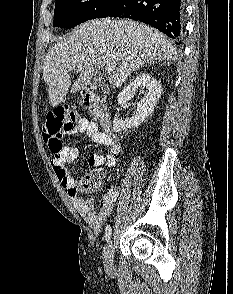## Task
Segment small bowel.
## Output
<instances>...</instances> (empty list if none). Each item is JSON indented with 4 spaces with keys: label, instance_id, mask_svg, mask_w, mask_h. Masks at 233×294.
Segmentation results:
<instances>
[{
    "label": "small bowel",
    "instance_id": "small-bowel-1",
    "mask_svg": "<svg viewBox=\"0 0 233 294\" xmlns=\"http://www.w3.org/2000/svg\"><path fill=\"white\" fill-rule=\"evenodd\" d=\"M70 134H85V136L94 143L107 147L106 155L93 154L90 156L89 164L91 166H114L115 156L119 152V145L112 134L100 130L97 122L81 119L70 131ZM78 156L79 149L76 146H67L63 150L61 157L52 160V169L79 214L94 231H99L112 213L120 195L121 188L119 185L110 186L100 201V207L97 211L95 202L92 198H85L77 194L74 180L69 173L68 167L75 162ZM96 175L102 182L103 174L97 173Z\"/></svg>",
    "mask_w": 233,
    "mask_h": 294
}]
</instances>
